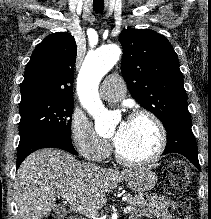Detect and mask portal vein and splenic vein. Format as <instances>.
Masks as SVG:
<instances>
[{
    "instance_id": "18ae733b",
    "label": "portal vein and splenic vein",
    "mask_w": 211,
    "mask_h": 219,
    "mask_svg": "<svg viewBox=\"0 0 211 219\" xmlns=\"http://www.w3.org/2000/svg\"><path fill=\"white\" fill-rule=\"evenodd\" d=\"M67 201L69 202V204H70L71 206H73L74 208H76V209L79 210V211L86 212V213H90V214H95V211H94V210H92V209H87V208L83 207V206L80 205L79 202H77V200L74 199V198H67ZM130 211H131V207H130V206H127V207L124 209V214H128Z\"/></svg>"
}]
</instances>
